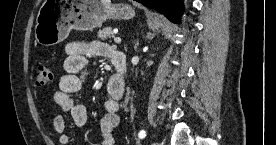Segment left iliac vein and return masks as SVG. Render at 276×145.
<instances>
[{
    "label": "left iliac vein",
    "mask_w": 276,
    "mask_h": 145,
    "mask_svg": "<svg viewBox=\"0 0 276 145\" xmlns=\"http://www.w3.org/2000/svg\"><path fill=\"white\" fill-rule=\"evenodd\" d=\"M154 145H159L158 143H154Z\"/></svg>",
    "instance_id": "1"
}]
</instances>
